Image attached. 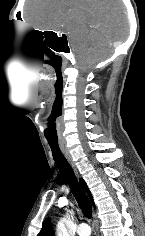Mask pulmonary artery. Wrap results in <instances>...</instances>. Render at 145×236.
I'll list each match as a JSON object with an SVG mask.
<instances>
[{
	"label": "pulmonary artery",
	"instance_id": "obj_1",
	"mask_svg": "<svg viewBox=\"0 0 145 236\" xmlns=\"http://www.w3.org/2000/svg\"><path fill=\"white\" fill-rule=\"evenodd\" d=\"M78 236H90L91 229L87 223H81L77 227Z\"/></svg>",
	"mask_w": 145,
	"mask_h": 236
}]
</instances>
